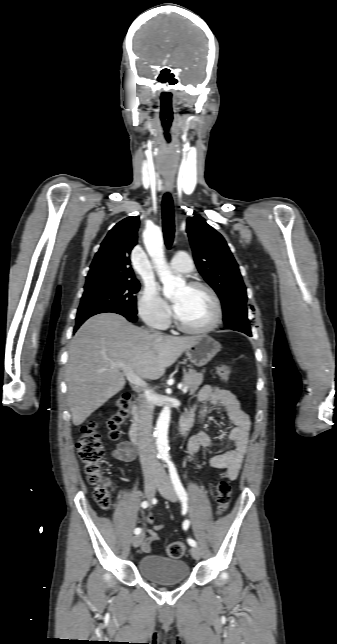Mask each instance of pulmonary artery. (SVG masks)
<instances>
[{
    "label": "pulmonary artery",
    "instance_id": "obj_1",
    "mask_svg": "<svg viewBox=\"0 0 337 644\" xmlns=\"http://www.w3.org/2000/svg\"><path fill=\"white\" fill-rule=\"evenodd\" d=\"M170 267L174 272L188 273L193 269V263L188 254L179 252L172 258Z\"/></svg>",
    "mask_w": 337,
    "mask_h": 644
}]
</instances>
